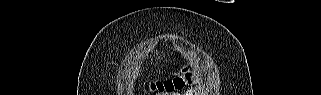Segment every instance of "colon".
<instances>
[{"label": "colon", "instance_id": "1", "mask_svg": "<svg viewBox=\"0 0 321 95\" xmlns=\"http://www.w3.org/2000/svg\"><path fill=\"white\" fill-rule=\"evenodd\" d=\"M192 80L193 76L191 74L185 73L163 81H158L155 84H153L152 88L157 91L169 92L175 89L182 88L187 83H190Z\"/></svg>", "mask_w": 321, "mask_h": 95}]
</instances>
